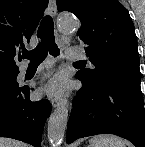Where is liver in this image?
I'll list each match as a JSON object with an SVG mask.
<instances>
[{
    "label": "liver",
    "instance_id": "1",
    "mask_svg": "<svg viewBox=\"0 0 145 147\" xmlns=\"http://www.w3.org/2000/svg\"><path fill=\"white\" fill-rule=\"evenodd\" d=\"M0 147H25V145L10 138L0 137Z\"/></svg>",
    "mask_w": 145,
    "mask_h": 147
}]
</instances>
